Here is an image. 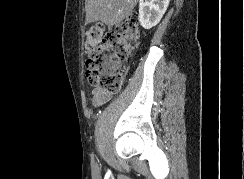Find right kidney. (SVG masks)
<instances>
[{"instance_id": "right-kidney-1", "label": "right kidney", "mask_w": 244, "mask_h": 179, "mask_svg": "<svg viewBox=\"0 0 244 179\" xmlns=\"http://www.w3.org/2000/svg\"><path fill=\"white\" fill-rule=\"evenodd\" d=\"M170 0H140L139 2V22L142 28L150 30L159 24L163 14H165Z\"/></svg>"}]
</instances>
